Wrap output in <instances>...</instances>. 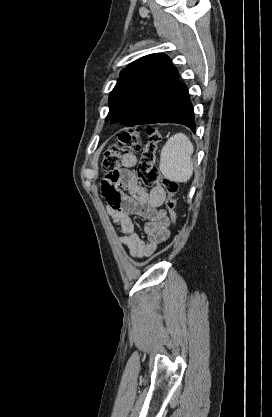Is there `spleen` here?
Returning a JSON list of instances; mask_svg holds the SVG:
<instances>
[{"label":"spleen","instance_id":"spleen-1","mask_svg":"<svg viewBox=\"0 0 272 417\" xmlns=\"http://www.w3.org/2000/svg\"><path fill=\"white\" fill-rule=\"evenodd\" d=\"M194 146L184 133H176L162 148L159 169L170 181L187 182L193 174Z\"/></svg>","mask_w":272,"mask_h":417}]
</instances>
